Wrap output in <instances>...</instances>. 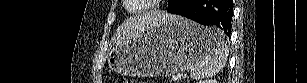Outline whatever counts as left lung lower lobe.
<instances>
[{
  "instance_id": "0a47b994",
  "label": "left lung lower lobe",
  "mask_w": 307,
  "mask_h": 83,
  "mask_svg": "<svg viewBox=\"0 0 307 83\" xmlns=\"http://www.w3.org/2000/svg\"><path fill=\"white\" fill-rule=\"evenodd\" d=\"M167 11L202 25H216L228 36L231 34L233 16L231 0H172Z\"/></svg>"
}]
</instances>
